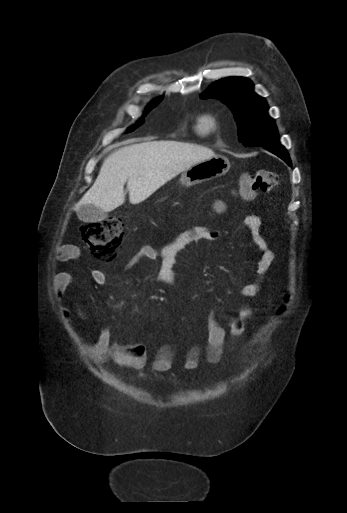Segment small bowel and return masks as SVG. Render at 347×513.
I'll use <instances>...</instances> for the list:
<instances>
[{"label": "small bowel", "instance_id": "1", "mask_svg": "<svg viewBox=\"0 0 347 513\" xmlns=\"http://www.w3.org/2000/svg\"><path fill=\"white\" fill-rule=\"evenodd\" d=\"M244 227L247 228L256 250L260 253L257 262V277L253 281L241 284L238 288L239 293L248 298H253L260 291V284L267 270L274 261L275 254L270 249L267 240L261 232V219L257 215H248L243 220ZM221 238L218 230L210 229L206 226H193L179 234L172 242L164 246L159 252L148 246H142L139 251L128 261L126 270L135 268L141 264L150 263L157 259L160 260V267L157 273L161 282L171 288H176V278L174 273V264L177 254L190 243L201 240L217 241ZM75 247L65 246L58 251L59 260L67 261L73 258ZM92 280L98 285L106 282V275L102 270H93ZM73 277L70 273L62 271L53 276L52 286L56 295H61L71 286ZM254 307L240 305L234 310L230 317L228 325L223 326L218 319L217 310L214 311L208 322V331L206 337V347L204 348L205 357L210 364L220 362L223 353L226 337H239L245 331L246 321L253 317ZM83 317L82 313H79ZM86 356L93 363H104L112 360L118 366L139 371L143 369L148 361L146 347L143 343L121 344L111 340V334L108 327L100 329L97 339L86 346ZM202 348L199 346L191 348L185 356L183 368L194 370L199 366ZM174 362V352L170 346H165L159 350L153 357L152 368L155 372L163 373L169 371Z\"/></svg>", "mask_w": 347, "mask_h": 513}]
</instances>
